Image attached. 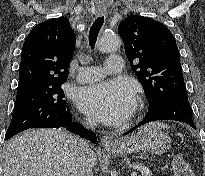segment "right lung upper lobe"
<instances>
[{"mask_svg":"<svg viewBox=\"0 0 205 176\" xmlns=\"http://www.w3.org/2000/svg\"><path fill=\"white\" fill-rule=\"evenodd\" d=\"M74 48L75 34L66 17L36 25L23 45L17 94L64 83Z\"/></svg>","mask_w":205,"mask_h":176,"instance_id":"right-lung-upper-lobe-1","label":"right lung upper lobe"}]
</instances>
